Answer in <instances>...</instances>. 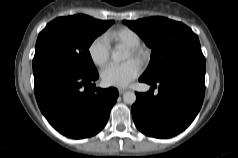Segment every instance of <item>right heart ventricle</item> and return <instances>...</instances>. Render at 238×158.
<instances>
[{
	"label": "right heart ventricle",
	"instance_id": "right-heart-ventricle-1",
	"mask_svg": "<svg viewBox=\"0 0 238 158\" xmlns=\"http://www.w3.org/2000/svg\"><path fill=\"white\" fill-rule=\"evenodd\" d=\"M107 39L116 44H122L128 48L138 46L141 42L139 34L128 27H122L109 32L107 34Z\"/></svg>",
	"mask_w": 238,
	"mask_h": 158
}]
</instances>
